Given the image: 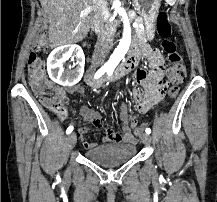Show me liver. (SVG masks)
Segmentation results:
<instances>
[{
	"label": "liver",
	"mask_w": 217,
	"mask_h": 202,
	"mask_svg": "<svg viewBox=\"0 0 217 202\" xmlns=\"http://www.w3.org/2000/svg\"><path fill=\"white\" fill-rule=\"evenodd\" d=\"M49 18L50 48L63 44H76L90 30V4L92 0H39Z\"/></svg>",
	"instance_id": "obj_1"
}]
</instances>
